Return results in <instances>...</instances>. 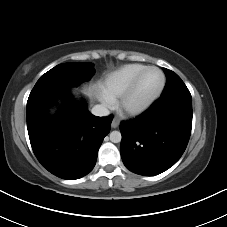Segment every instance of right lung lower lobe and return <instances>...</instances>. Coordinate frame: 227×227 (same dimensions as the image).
<instances>
[{
    "mask_svg": "<svg viewBox=\"0 0 227 227\" xmlns=\"http://www.w3.org/2000/svg\"><path fill=\"white\" fill-rule=\"evenodd\" d=\"M59 98L64 101L51 115L49 108ZM112 119L89 113L85 102L73 99L70 88L27 102V129L33 152L45 169L66 180L91 172Z\"/></svg>",
    "mask_w": 227,
    "mask_h": 227,
    "instance_id": "obj_1",
    "label": "right lung lower lobe"
}]
</instances>
